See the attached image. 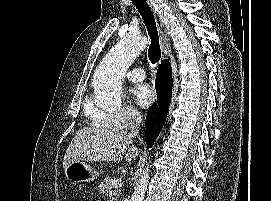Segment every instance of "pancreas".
I'll return each mask as SVG.
<instances>
[{
	"instance_id": "obj_1",
	"label": "pancreas",
	"mask_w": 271,
	"mask_h": 201,
	"mask_svg": "<svg viewBox=\"0 0 271 201\" xmlns=\"http://www.w3.org/2000/svg\"><path fill=\"white\" fill-rule=\"evenodd\" d=\"M112 181H114L113 178L106 176L104 181L101 182L99 186V193L105 196H109L110 199L108 201H116L120 195V190H118V188H111Z\"/></svg>"
}]
</instances>
